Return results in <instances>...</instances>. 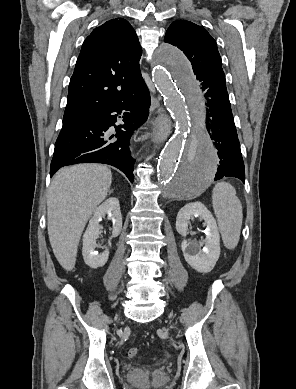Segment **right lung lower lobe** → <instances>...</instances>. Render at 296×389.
Masks as SVG:
<instances>
[{
	"instance_id": "obj_1",
	"label": "right lung lower lobe",
	"mask_w": 296,
	"mask_h": 389,
	"mask_svg": "<svg viewBox=\"0 0 296 389\" xmlns=\"http://www.w3.org/2000/svg\"><path fill=\"white\" fill-rule=\"evenodd\" d=\"M150 102L149 91L140 74L115 105L62 128L55 143L50 175L65 165L94 162L120 169L133 182L134 160L129 149L130 139L146 121ZM115 112L123 114L120 116L123 125H115L118 116ZM111 126L115 127L116 134L109 136Z\"/></svg>"
}]
</instances>
